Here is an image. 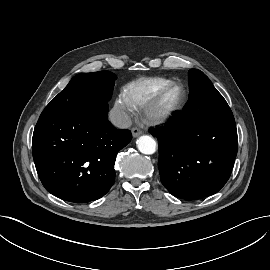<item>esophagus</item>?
<instances>
[{
	"label": "esophagus",
	"instance_id": "obj_1",
	"mask_svg": "<svg viewBox=\"0 0 270 270\" xmlns=\"http://www.w3.org/2000/svg\"><path fill=\"white\" fill-rule=\"evenodd\" d=\"M131 131L134 138L140 136L142 133V130L138 127H133Z\"/></svg>",
	"mask_w": 270,
	"mask_h": 270
}]
</instances>
